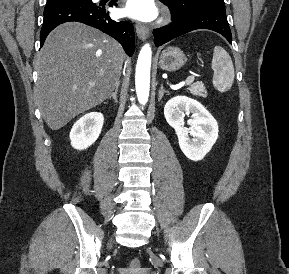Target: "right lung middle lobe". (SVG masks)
Wrapping results in <instances>:
<instances>
[{
	"label": "right lung middle lobe",
	"mask_w": 289,
	"mask_h": 274,
	"mask_svg": "<svg viewBox=\"0 0 289 274\" xmlns=\"http://www.w3.org/2000/svg\"><path fill=\"white\" fill-rule=\"evenodd\" d=\"M66 0H47V4H53V3H58Z\"/></svg>",
	"instance_id": "right-lung-middle-lobe-1"
}]
</instances>
